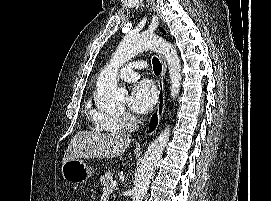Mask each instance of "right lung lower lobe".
Here are the masks:
<instances>
[{
	"instance_id": "98d812e1",
	"label": "right lung lower lobe",
	"mask_w": 271,
	"mask_h": 201,
	"mask_svg": "<svg viewBox=\"0 0 271 201\" xmlns=\"http://www.w3.org/2000/svg\"><path fill=\"white\" fill-rule=\"evenodd\" d=\"M156 124H157V116H156V114H154L152 116V118H151V122H150V126H149V132H151L152 130L155 129Z\"/></svg>"
}]
</instances>
